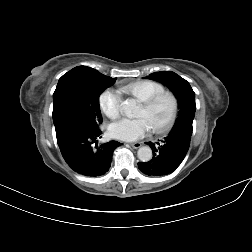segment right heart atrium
Segmentation results:
<instances>
[{
	"label": "right heart atrium",
	"instance_id": "right-heart-atrium-1",
	"mask_svg": "<svg viewBox=\"0 0 252 252\" xmlns=\"http://www.w3.org/2000/svg\"><path fill=\"white\" fill-rule=\"evenodd\" d=\"M99 104L103 113L107 117L114 119L120 112L121 96L116 90L106 89L100 95Z\"/></svg>",
	"mask_w": 252,
	"mask_h": 252
}]
</instances>
